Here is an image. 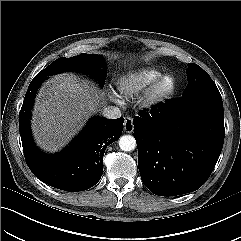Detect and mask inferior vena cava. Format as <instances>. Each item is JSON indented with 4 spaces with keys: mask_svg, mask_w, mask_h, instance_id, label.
Listing matches in <instances>:
<instances>
[{
    "mask_svg": "<svg viewBox=\"0 0 241 241\" xmlns=\"http://www.w3.org/2000/svg\"><path fill=\"white\" fill-rule=\"evenodd\" d=\"M102 115L108 119H117L121 117V111L118 107L108 106L103 109Z\"/></svg>",
    "mask_w": 241,
    "mask_h": 241,
    "instance_id": "602c4592",
    "label": "inferior vena cava"
}]
</instances>
